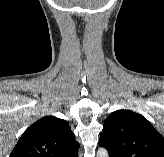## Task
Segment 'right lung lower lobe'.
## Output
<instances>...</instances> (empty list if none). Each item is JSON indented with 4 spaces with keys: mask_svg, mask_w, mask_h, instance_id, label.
Here are the masks:
<instances>
[{
    "mask_svg": "<svg viewBox=\"0 0 164 157\" xmlns=\"http://www.w3.org/2000/svg\"><path fill=\"white\" fill-rule=\"evenodd\" d=\"M68 157H78L77 150L73 151V153L70 154Z\"/></svg>",
    "mask_w": 164,
    "mask_h": 157,
    "instance_id": "1",
    "label": "right lung lower lobe"
}]
</instances>
